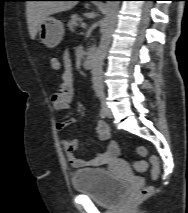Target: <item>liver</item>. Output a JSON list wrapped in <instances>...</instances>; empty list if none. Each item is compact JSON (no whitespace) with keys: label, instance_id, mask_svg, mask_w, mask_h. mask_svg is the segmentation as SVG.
Here are the masks:
<instances>
[{"label":"liver","instance_id":"liver-1","mask_svg":"<svg viewBox=\"0 0 188 213\" xmlns=\"http://www.w3.org/2000/svg\"><path fill=\"white\" fill-rule=\"evenodd\" d=\"M76 4L75 1H28L26 16L31 39H35L40 24L49 15L70 10Z\"/></svg>","mask_w":188,"mask_h":213}]
</instances>
